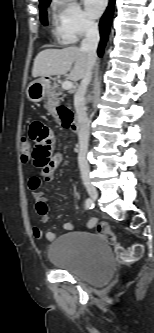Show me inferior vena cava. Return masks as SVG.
I'll return each instance as SVG.
<instances>
[{"label": "inferior vena cava", "instance_id": "inferior-vena-cava-1", "mask_svg": "<svg viewBox=\"0 0 154 333\" xmlns=\"http://www.w3.org/2000/svg\"><path fill=\"white\" fill-rule=\"evenodd\" d=\"M85 37L81 42V49L87 52V70L81 81L79 89L74 96V106L78 121L79 154L78 164L81 174H89V165L87 162V151L89 141L90 122L87 117L85 107V94L87 87L91 82L92 68L95 65L97 57V47L100 40L98 25L95 22L88 21L84 24Z\"/></svg>", "mask_w": 154, "mask_h": 333}]
</instances>
